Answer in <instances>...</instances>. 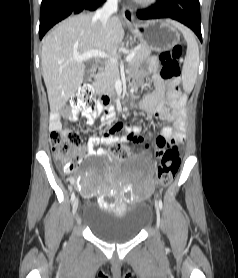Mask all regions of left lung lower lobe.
I'll use <instances>...</instances> for the list:
<instances>
[{"label": "left lung lower lobe", "instance_id": "left-lung-lower-lobe-1", "mask_svg": "<svg viewBox=\"0 0 238 278\" xmlns=\"http://www.w3.org/2000/svg\"><path fill=\"white\" fill-rule=\"evenodd\" d=\"M139 19L171 18L191 28L202 42L199 0H158L137 12Z\"/></svg>", "mask_w": 238, "mask_h": 278}]
</instances>
